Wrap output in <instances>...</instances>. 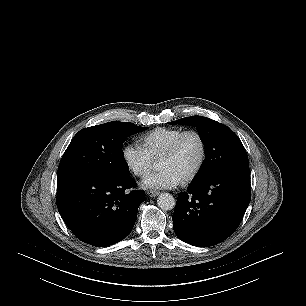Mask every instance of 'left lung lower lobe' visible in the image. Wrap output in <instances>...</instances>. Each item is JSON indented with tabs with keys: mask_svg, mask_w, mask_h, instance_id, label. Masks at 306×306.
Masks as SVG:
<instances>
[{
	"mask_svg": "<svg viewBox=\"0 0 306 306\" xmlns=\"http://www.w3.org/2000/svg\"><path fill=\"white\" fill-rule=\"evenodd\" d=\"M249 168H233L193 180L178 195L172 216L175 234L198 247L216 245L239 226L250 203Z\"/></svg>",
	"mask_w": 306,
	"mask_h": 306,
	"instance_id": "0a47b994",
	"label": "left lung lower lobe"
}]
</instances>
